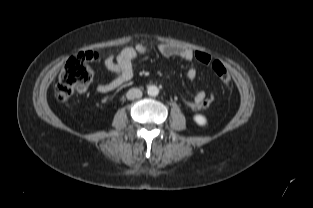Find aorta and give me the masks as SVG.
Here are the masks:
<instances>
[{"label": "aorta", "mask_w": 313, "mask_h": 208, "mask_svg": "<svg viewBox=\"0 0 313 208\" xmlns=\"http://www.w3.org/2000/svg\"><path fill=\"white\" fill-rule=\"evenodd\" d=\"M147 93H148L149 96H157L158 93H159V89L155 85L148 86Z\"/></svg>", "instance_id": "obj_1"}]
</instances>
